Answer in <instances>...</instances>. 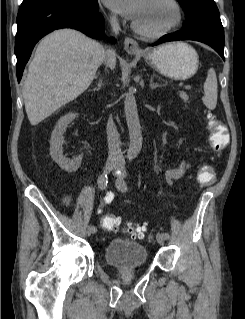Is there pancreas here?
Here are the masks:
<instances>
[{
  "instance_id": "1",
  "label": "pancreas",
  "mask_w": 245,
  "mask_h": 319,
  "mask_svg": "<svg viewBox=\"0 0 245 319\" xmlns=\"http://www.w3.org/2000/svg\"><path fill=\"white\" fill-rule=\"evenodd\" d=\"M181 98L184 100V101H187L188 100V96L184 93H181L180 94Z\"/></svg>"
}]
</instances>
